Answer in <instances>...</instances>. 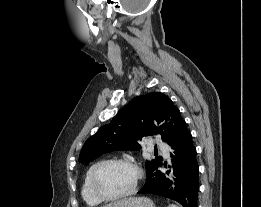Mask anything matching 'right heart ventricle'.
<instances>
[{
    "mask_svg": "<svg viewBox=\"0 0 261 207\" xmlns=\"http://www.w3.org/2000/svg\"><path fill=\"white\" fill-rule=\"evenodd\" d=\"M103 161H97L95 163H93L92 165H90V167L87 169L84 179H83V183H82V188H81V194L82 197L84 199V201L87 203V205L89 206H97L99 205L102 201L100 199H98L94 193L92 192L91 189V176L93 171L95 170V168L102 163Z\"/></svg>",
    "mask_w": 261,
    "mask_h": 207,
    "instance_id": "1",
    "label": "right heart ventricle"
}]
</instances>
